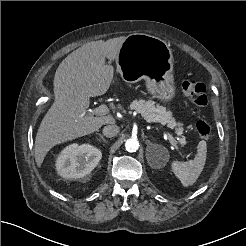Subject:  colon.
Returning <instances> with one entry per match:
<instances>
[{"label":"colon","instance_id":"colon-1","mask_svg":"<svg viewBox=\"0 0 246 246\" xmlns=\"http://www.w3.org/2000/svg\"><path fill=\"white\" fill-rule=\"evenodd\" d=\"M182 89L188 99L197 107H205L207 105V85L204 82L194 79L186 80L182 83ZM196 130L203 140H209L213 136L212 125L204 119L197 121Z\"/></svg>","mask_w":246,"mask_h":246}]
</instances>
